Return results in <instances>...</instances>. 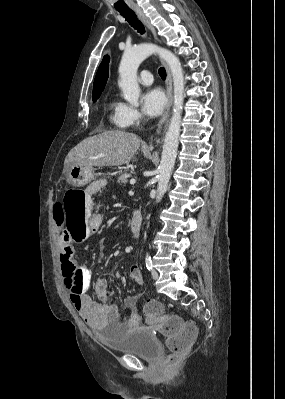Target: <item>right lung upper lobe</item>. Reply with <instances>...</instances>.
<instances>
[{
    "label": "right lung upper lobe",
    "mask_w": 285,
    "mask_h": 399,
    "mask_svg": "<svg viewBox=\"0 0 285 399\" xmlns=\"http://www.w3.org/2000/svg\"><path fill=\"white\" fill-rule=\"evenodd\" d=\"M109 60L110 58L108 55L104 56V59L98 68L93 84V95L101 94L106 85L109 75Z\"/></svg>",
    "instance_id": "obj_1"
}]
</instances>
